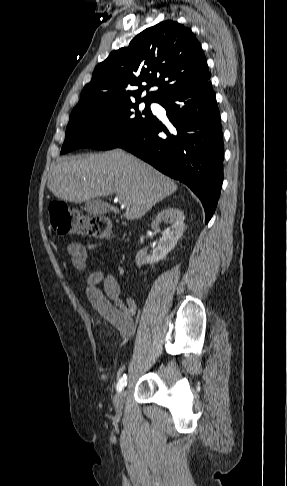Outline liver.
Listing matches in <instances>:
<instances>
[{"mask_svg": "<svg viewBox=\"0 0 287 486\" xmlns=\"http://www.w3.org/2000/svg\"><path fill=\"white\" fill-rule=\"evenodd\" d=\"M47 187L55 197L75 203L117 193L126 201L128 220L141 218L178 188L169 177L120 150L60 158ZM110 209L119 213L117 207Z\"/></svg>", "mask_w": 287, "mask_h": 486, "instance_id": "6515ba94", "label": "liver"}]
</instances>
